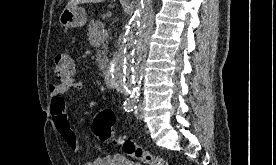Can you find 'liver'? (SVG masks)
<instances>
[{
  "mask_svg": "<svg viewBox=\"0 0 276 165\" xmlns=\"http://www.w3.org/2000/svg\"><path fill=\"white\" fill-rule=\"evenodd\" d=\"M105 0H70L66 6V8H73L79 4H85V3H101Z\"/></svg>",
  "mask_w": 276,
  "mask_h": 165,
  "instance_id": "1",
  "label": "liver"
}]
</instances>
